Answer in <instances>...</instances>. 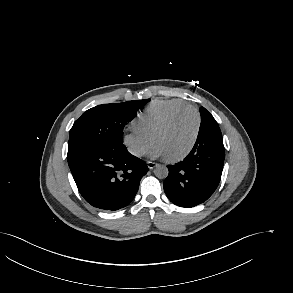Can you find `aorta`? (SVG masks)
<instances>
[{
  "label": "aorta",
  "instance_id": "1",
  "mask_svg": "<svg viewBox=\"0 0 293 293\" xmlns=\"http://www.w3.org/2000/svg\"><path fill=\"white\" fill-rule=\"evenodd\" d=\"M168 173V168L165 165H157L154 169L155 176L160 179L166 178Z\"/></svg>",
  "mask_w": 293,
  "mask_h": 293
}]
</instances>
